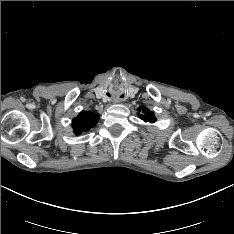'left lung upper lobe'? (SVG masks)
Wrapping results in <instances>:
<instances>
[{
  "mask_svg": "<svg viewBox=\"0 0 234 234\" xmlns=\"http://www.w3.org/2000/svg\"><path fill=\"white\" fill-rule=\"evenodd\" d=\"M142 109H144V111H143L144 114H139V117L143 121H145V122L149 121L151 123H153L154 121H156V118H155L153 112H150L148 109H145V108H142V107L138 108L139 111H141Z\"/></svg>",
  "mask_w": 234,
  "mask_h": 234,
  "instance_id": "obj_1",
  "label": "left lung upper lobe"
}]
</instances>
